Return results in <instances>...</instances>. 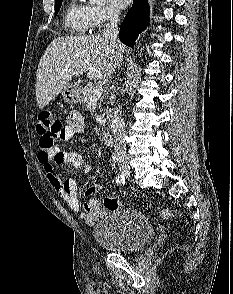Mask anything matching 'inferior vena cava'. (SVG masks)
Segmentation results:
<instances>
[{
	"mask_svg": "<svg viewBox=\"0 0 233 294\" xmlns=\"http://www.w3.org/2000/svg\"><path fill=\"white\" fill-rule=\"evenodd\" d=\"M120 11L116 8L109 9L108 23L103 30V37L110 40L113 44L118 45V21H119ZM119 65V64H118ZM115 136V154L119 165H127V153H126V143H125V125L121 121L120 126L114 133Z\"/></svg>",
	"mask_w": 233,
	"mask_h": 294,
	"instance_id": "obj_1",
	"label": "inferior vena cava"
}]
</instances>
